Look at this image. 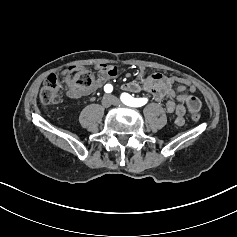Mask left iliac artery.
Returning a JSON list of instances; mask_svg holds the SVG:
<instances>
[{
    "label": "left iliac artery",
    "instance_id": "1",
    "mask_svg": "<svg viewBox=\"0 0 237 237\" xmlns=\"http://www.w3.org/2000/svg\"><path fill=\"white\" fill-rule=\"evenodd\" d=\"M120 99L125 105L131 107H141L147 103V98H134L128 93H122Z\"/></svg>",
    "mask_w": 237,
    "mask_h": 237
}]
</instances>
